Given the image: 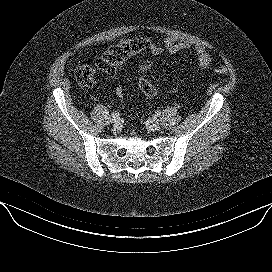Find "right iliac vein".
<instances>
[{
  "label": "right iliac vein",
  "instance_id": "63e3f726",
  "mask_svg": "<svg viewBox=\"0 0 272 272\" xmlns=\"http://www.w3.org/2000/svg\"><path fill=\"white\" fill-rule=\"evenodd\" d=\"M111 121H112V123H114V124H118L119 121H120V118H119V117H115V118L112 117Z\"/></svg>",
  "mask_w": 272,
  "mask_h": 272
}]
</instances>
